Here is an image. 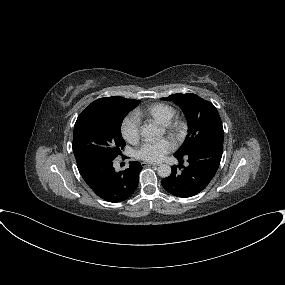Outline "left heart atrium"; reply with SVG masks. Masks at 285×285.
I'll return each mask as SVG.
<instances>
[{
	"label": "left heart atrium",
	"instance_id": "obj_1",
	"mask_svg": "<svg viewBox=\"0 0 285 285\" xmlns=\"http://www.w3.org/2000/svg\"><path fill=\"white\" fill-rule=\"evenodd\" d=\"M174 149L169 139L145 142L137 151V157L147 162H159Z\"/></svg>",
	"mask_w": 285,
	"mask_h": 285
}]
</instances>
